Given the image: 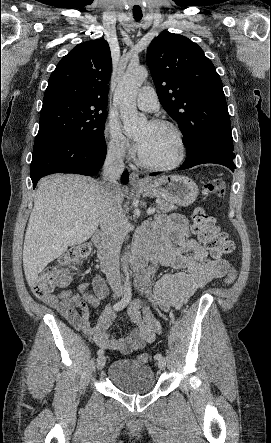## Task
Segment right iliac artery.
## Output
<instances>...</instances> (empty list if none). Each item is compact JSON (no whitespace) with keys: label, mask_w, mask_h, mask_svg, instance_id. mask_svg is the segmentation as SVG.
Returning a JSON list of instances; mask_svg holds the SVG:
<instances>
[{"label":"right iliac artery","mask_w":271,"mask_h":443,"mask_svg":"<svg viewBox=\"0 0 271 443\" xmlns=\"http://www.w3.org/2000/svg\"><path fill=\"white\" fill-rule=\"evenodd\" d=\"M132 298V293H131V288L130 287H125L124 289V296L123 298L117 302L116 304H114L113 308L115 311H120L122 309H124L130 302ZM104 351L103 350H98L97 354L99 356L103 355Z\"/></svg>","instance_id":"82829eb1"}]
</instances>
